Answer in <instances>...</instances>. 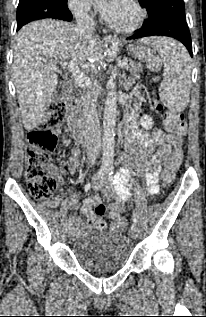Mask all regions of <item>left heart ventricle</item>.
I'll return each instance as SVG.
<instances>
[{"mask_svg": "<svg viewBox=\"0 0 206 317\" xmlns=\"http://www.w3.org/2000/svg\"><path fill=\"white\" fill-rule=\"evenodd\" d=\"M135 17L136 12L130 3L127 0H119L109 19L117 24L126 25L132 22Z\"/></svg>", "mask_w": 206, "mask_h": 317, "instance_id": "1", "label": "left heart ventricle"}]
</instances>
